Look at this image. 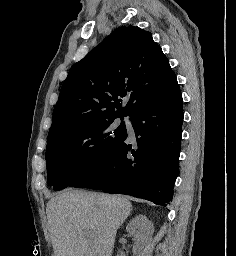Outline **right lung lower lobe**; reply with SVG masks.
Segmentation results:
<instances>
[{
    "label": "right lung lower lobe",
    "instance_id": "98d812e1",
    "mask_svg": "<svg viewBox=\"0 0 236 256\" xmlns=\"http://www.w3.org/2000/svg\"><path fill=\"white\" fill-rule=\"evenodd\" d=\"M136 139L123 142L72 181L71 187L126 194L166 206L178 174L183 109L178 83L146 101L131 117Z\"/></svg>",
    "mask_w": 236,
    "mask_h": 256
}]
</instances>
